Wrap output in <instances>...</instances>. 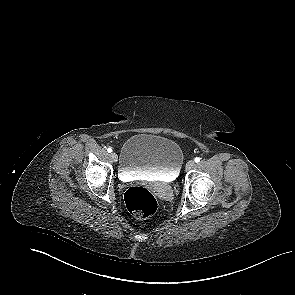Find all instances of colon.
Wrapping results in <instances>:
<instances>
[{
  "label": "colon",
  "mask_w": 295,
  "mask_h": 295,
  "mask_svg": "<svg viewBox=\"0 0 295 295\" xmlns=\"http://www.w3.org/2000/svg\"><path fill=\"white\" fill-rule=\"evenodd\" d=\"M124 200L128 211L138 219H146L156 213L158 200L154 194L143 187H130Z\"/></svg>",
  "instance_id": "colon-1"
}]
</instances>
